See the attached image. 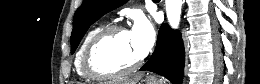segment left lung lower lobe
<instances>
[{
    "instance_id": "obj_1",
    "label": "left lung lower lobe",
    "mask_w": 260,
    "mask_h": 84,
    "mask_svg": "<svg viewBox=\"0 0 260 84\" xmlns=\"http://www.w3.org/2000/svg\"><path fill=\"white\" fill-rule=\"evenodd\" d=\"M184 60L180 33L163 24L158 32L155 51L140 71L148 70L163 75L173 84H181Z\"/></svg>"
}]
</instances>
